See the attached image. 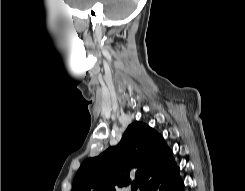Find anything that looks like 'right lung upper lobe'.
I'll use <instances>...</instances> for the list:
<instances>
[{"mask_svg": "<svg viewBox=\"0 0 245 191\" xmlns=\"http://www.w3.org/2000/svg\"><path fill=\"white\" fill-rule=\"evenodd\" d=\"M176 165L162 136L148 125H129L120 143L86 159L77 171L72 191H116L134 177L147 191Z\"/></svg>", "mask_w": 245, "mask_h": 191, "instance_id": "cb5924a9", "label": "right lung upper lobe"}]
</instances>
